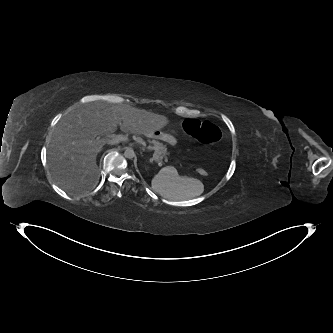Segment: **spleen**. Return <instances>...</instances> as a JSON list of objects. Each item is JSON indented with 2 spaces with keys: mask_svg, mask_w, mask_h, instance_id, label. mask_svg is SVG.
<instances>
[{
  "mask_svg": "<svg viewBox=\"0 0 333 333\" xmlns=\"http://www.w3.org/2000/svg\"><path fill=\"white\" fill-rule=\"evenodd\" d=\"M152 190L169 200H187L204 192L203 183L195 178L179 176L175 169H161L151 181Z\"/></svg>",
  "mask_w": 333,
  "mask_h": 333,
  "instance_id": "obj_1",
  "label": "spleen"
}]
</instances>
